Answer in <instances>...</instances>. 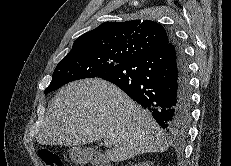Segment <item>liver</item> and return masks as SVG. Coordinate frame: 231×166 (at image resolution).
Masks as SVG:
<instances>
[{
    "mask_svg": "<svg viewBox=\"0 0 231 166\" xmlns=\"http://www.w3.org/2000/svg\"><path fill=\"white\" fill-rule=\"evenodd\" d=\"M110 141L112 162L166 151L170 143L147 110L110 82L94 78L62 87L48 106L36 140L41 145H86Z\"/></svg>",
    "mask_w": 231,
    "mask_h": 166,
    "instance_id": "obj_1",
    "label": "liver"
}]
</instances>
